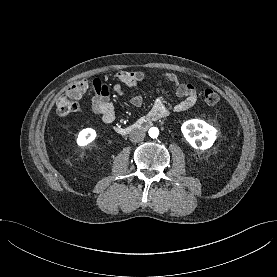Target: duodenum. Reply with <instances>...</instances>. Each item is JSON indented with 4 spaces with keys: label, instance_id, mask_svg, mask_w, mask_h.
I'll list each match as a JSON object with an SVG mask.
<instances>
[{
    "label": "duodenum",
    "instance_id": "duodenum-1",
    "mask_svg": "<svg viewBox=\"0 0 277 277\" xmlns=\"http://www.w3.org/2000/svg\"><path fill=\"white\" fill-rule=\"evenodd\" d=\"M152 121L153 120L151 118H142L129 126H125V127L119 126V127H116L115 129L118 133L123 135L134 131H146L152 126Z\"/></svg>",
    "mask_w": 277,
    "mask_h": 277
}]
</instances>
